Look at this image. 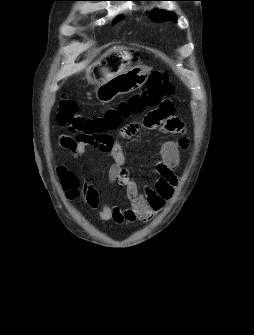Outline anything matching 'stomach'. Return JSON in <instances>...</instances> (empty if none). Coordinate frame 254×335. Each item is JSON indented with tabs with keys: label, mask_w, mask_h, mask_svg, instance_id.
Returning a JSON list of instances; mask_svg holds the SVG:
<instances>
[{
	"label": "stomach",
	"mask_w": 254,
	"mask_h": 335,
	"mask_svg": "<svg viewBox=\"0 0 254 335\" xmlns=\"http://www.w3.org/2000/svg\"><path fill=\"white\" fill-rule=\"evenodd\" d=\"M129 49H118L113 57L102 58L89 71V81L98 87L95 95L101 103L112 101L117 95L141 87L148 79L150 69L131 66Z\"/></svg>",
	"instance_id": "1"
}]
</instances>
